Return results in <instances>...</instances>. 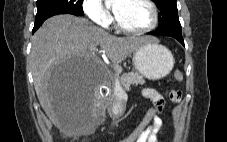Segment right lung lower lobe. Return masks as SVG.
Segmentation results:
<instances>
[{
  "mask_svg": "<svg viewBox=\"0 0 227 142\" xmlns=\"http://www.w3.org/2000/svg\"><path fill=\"white\" fill-rule=\"evenodd\" d=\"M73 15H75V14H73ZM51 16H53V15L46 16V17H41V18H36V20H35V25H34V28H33L32 33H34V32L40 27V25H41L47 18H49V17H51ZM77 16H79V15H77Z\"/></svg>",
  "mask_w": 227,
  "mask_h": 142,
  "instance_id": "98d812e1",
  "label": "right lung lower lobe"
}]
</instances>
